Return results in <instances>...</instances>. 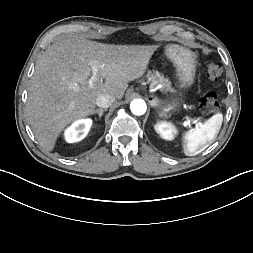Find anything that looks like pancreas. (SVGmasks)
<instances>
[{"label":"pancreas","mask_w":253,"mask_h":253,"mask_svg":"<svg viewBox=\"0 0 253 253\" xmlns=\"http://www.w3.org/2000/svg\"><path fill=\"white\" fill-rule=\"evenodd\" d=\"M146 77L148 82H150L151 88H157L160 86L162 90L173 91L170 80L158 71H148Z\"/></svg>","instance_id":"1"}]
</instances>
